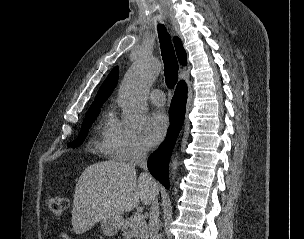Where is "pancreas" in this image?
Returning a JSON list of instances; mask_svg holds the SVG:
<instances>
[{
    "instance_id": "pancreas-1",
    "label": "pancreas",
    "mask_w": 304,
    "mask_h": 239,
    "mask_svg": "<svg viewBox=\"0 0 304 239\" xmlns=\"http://www.w3.org/2000/svg\"><path fill=\"white\" fill-rule=\"evenodd\" d=\"M124 239H148V227L143 218L137 215L127 218L122 224Z\"/></svg>"
}]
</instances>
